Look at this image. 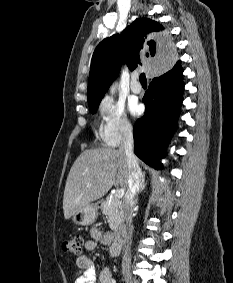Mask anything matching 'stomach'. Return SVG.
Wrapping results in <instances>:
<instances>
[{
  "label": "stomach",
  "mask_w": 233,
  "mask_h": 283,
  "mask_svg": "<svg viewBox=\"0 0 233 283\" xmlns=\"http://www.w3.org/2000/svg\"><path fill=\"white\" fill-rule=\"evenodd\" d=\"M98 216V208L95 204H89L76 211L71 219L77 225H89L95 222Z\"/></svg>",
  "instance_id": "obj_1"
}]
</instances>
